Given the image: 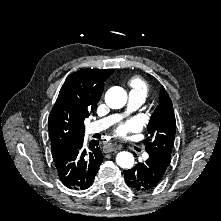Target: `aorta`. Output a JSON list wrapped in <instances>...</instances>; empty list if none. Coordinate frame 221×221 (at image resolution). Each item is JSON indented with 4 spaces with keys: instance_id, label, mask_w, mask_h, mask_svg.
<instances>
[{
    "instance_id": "aorta-1",
    "label": "aorta",
    "mask_w": 221,
    "mask_h": 221,
    "mask_svg": "<svg viewBox=\"0 0 221 221\" xmlns=\"http://www.w3.org/2000/svg\"><path fill=\"white\" fill-rule=\"evenodd\" d=\"M105 102L112 109H120L127 102V93L121 87H111L105 94ZM116 163L121 168L130 169L133 167L134 157L130 152L123 151L117 154Z\"/></svg>"
}]
</instances>
